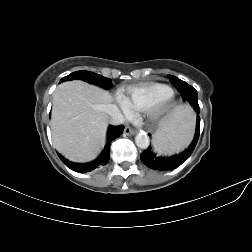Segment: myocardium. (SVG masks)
<instances>
[{
    "label": "myocardium",
    "instance_id": "obj_1",
    "mask_svg": "<svg viewBox=\"0 0 252 252\" xmlns=\"http://www.w3.org/2000/svg\"><path fill=\"white\" fill-rule=\"evenodd\" d=\"M173 106V95L153 102L144 110V119L148 122L157 123L162 120Z\"/></svg>",
    "mask_w": 252,
    "mask_h": 252
}]
</instances>
